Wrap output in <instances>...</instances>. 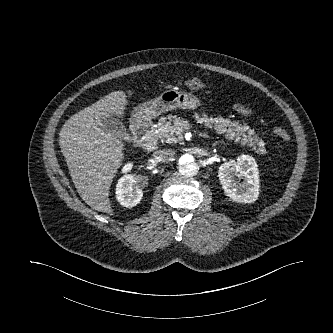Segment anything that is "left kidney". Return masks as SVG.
<instances>
[{
	"label": "left kidney",
	"instance_id": "obj_1",
	"mask_svg": "<svg viewBox=\"0 0 333 333\" xmlns=\"http://www.w3.org/2000/svg\"><path fill=\"white\" fill-rule=\"evenodd\" d=\"M244 178L243 182L236 180ZM218 177L225 194L239 203H253L259 196V174L252 156L241 155L219 167Z\"/></svg>",
	"mask_w": 333,
	"mask_h": 333
}]
</instances>
